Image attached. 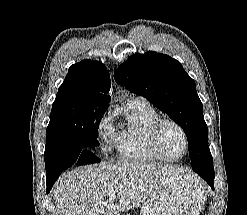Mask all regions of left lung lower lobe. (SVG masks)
I'll return each instance as SVG.
<instances>
[{"label": "left lung lower lobe", "mask_w": 247, "mask_h": 215, "mask_svg": "<svg viewBox=\"0 0 247 215\" xmlns=\"http://www.w3.org/2000/svg\"><path fill=\"white\" fill-rule=\"evenodd\" d=\"M192 169L204 180H206V182L214 190L215 173L211 153L202 155L201 161L195 165H192Z\"/></svg>", "instance_id": "obj_1"}]
</instances>
